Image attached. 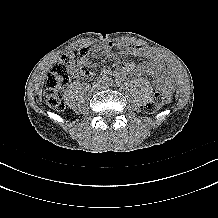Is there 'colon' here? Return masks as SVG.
Here are the masks:
<instances>
[{"label": "colon", "mask_w": 218, "mask_h": 218, "mask_svg": "<svg viewBox=\"0 0 218 218\" xmlns=\"http://www.w3.org/2000/svg\"><path fill=\"white\" fill-rule=\"evenodd\" d=\"M84 54L82 49L62 56L47 76L44 89L46 103L57 110H64L65 104L62 101L61 89L65 87L71 77V69L77 60ZM165 103L163 92L159 91L147 101L145 110L148 113L157 112Z\"/></svg>", "instance_id": "1"}]
</instances>
